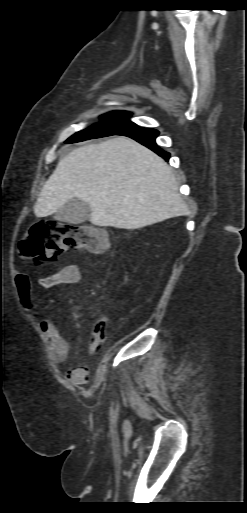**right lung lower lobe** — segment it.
<instances>
[{"label":"right lung lower lobe","mask_w":247,"mask_h":513,"mask_svg":"<svg viewBox=\"0 0 247 513\" xmlns=\"http://www.w3.org/2000/svg\"><path fill=\"white\" fill-rule=\"evenodd\" d=\"M158 133L159 132L155 129L132 126L116 135L128 136L138 141L139 143L145 145L146 147L157 153L159 156L164 158L166 161H168L170 154L163 151L156 145L155 138L157 137Z\"/></svg>","instance_id":"98d812e1"}]
</instances>
